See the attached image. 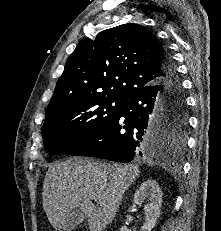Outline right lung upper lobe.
I'll use <instances>...</instances> for the list:
<instances>
[{
	"mask_svg": "<svg viewBox=\"0 0 221 231\" xmlns=\"http://www.w3.org/2000/svg\"><path fill=\"white\" fill-rule=\"evenodd\" d=\"M164 47L144 26L123 24L78 43L57 81L46 118L70 101L131 93L163 79Z\"/></svg>",
	"mask_w": 221,
	"mask_h": 231,
	"instance_id": "cb5924a9",
	"label": "right lung upper lobe"
}]
</instances>
